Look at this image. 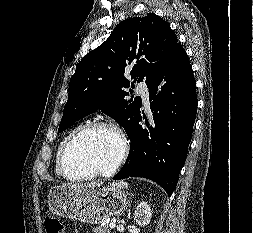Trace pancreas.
<instances>
[{"mask_svg": "<svg viewBox=\"0 0 253 233\" xmlns=\"http://www.w3.org/2000/svg\"><path fill=\"white\" fill-rule=\"evenodd\" d=\"M93 232L94 233H110L111 229L109 228L108 224H104V225L93 228Z\"/></svg>", "mask_w": 253, "mask_h": 233, "instance_id": "obj_1", "label": "pancreas"}]
</instances>
